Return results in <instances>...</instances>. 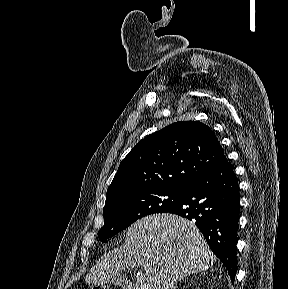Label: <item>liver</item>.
<instances>
[{
    "instance_id": "1",
    "label": "liver",
    "mask_w": 288,
    "mask_h": 289,
    "mask_svg": "<svg viewBox=\"0 0 288 289\" xmlns=\"http://www.w3.org/2000/svg\"><path fill=\"white\" fill-rule=\"evenodd\" d=\"M216 257L193 222L153 214L133 223L120 247L104 254L85 277L102 286L125 269L142 266L133 289H174L182 278L208 270Z\"/></svg>"
}]
</instances>
